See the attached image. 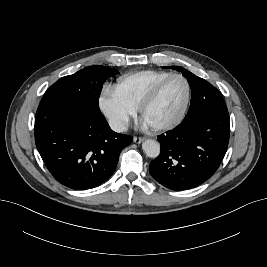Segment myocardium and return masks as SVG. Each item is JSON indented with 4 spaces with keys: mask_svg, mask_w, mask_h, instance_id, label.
<instances>
[{
    "mask_svg": "<svg viewBox=\"0 0 267 267\" xmlns=\"http://www.w3.org/2000/svg\"><path fill=\"white\" fill-rule=\"evenodd\" d=\"M174 78L181 79L184 82L185 87H186V95H185V100H184L183 106H182L180 112L178 113V115L173 120H171L167 123H164V124H160V125H150V127L154 131L163 132V131H169V130L174 129L183 121V119L187 113L189 103H190V98H191V85H190L188 79L184 75L178 74V73H172V74L166 76L165 78L161 79L159 82H157L153 86V88L150 90V92L146 95V97L140 103V105L138 107L139 114H140L141 118L144 119V113H145L146 109L157 99L163 86L168 81H170L171 79H174Z\"/></svg>",
    "mask_w": 267,
    "mask_h": 267,
    "instance_id": "1",
    "label": "myocardium"
}]
</instances>
